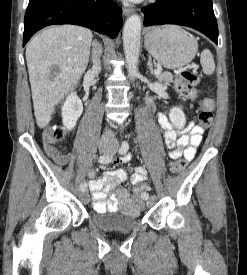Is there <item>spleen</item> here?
<instances>
[{"label": "spleen", "instance_id": "3e777b00", "mask_svg": "<svg viewBox=\"0 0 247 275\" xmlns=\"http://www.w3.org/2000/svg\"><path fill=\"white\" fill-rule=\"evenodd\" d=\"M200 62L203 68V72L206 75H211L215 70V63L212 53L208 49H204L201 53Z\"/></svg>", "mask_w": 247, "mask_h": 275}]
</instances>
